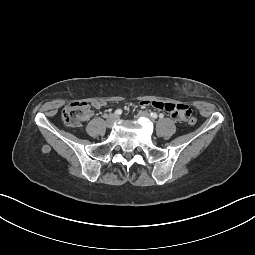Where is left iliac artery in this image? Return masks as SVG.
<instances>
[{
	"mask_svg": "<svg viewBox=\"0 0 255 255\" xmlns=\"http://www.w3.org/2000/svg\"><path fill=\"white\" fill-rule=\"evenodd\" d=\"M150 116L153 118V119H156L158 117V115L154 112H151L150 113Z\"/></svg>",
	"mask_w": 255,
	"mask_h": 255,
	"instance_id": "obj_1",
	"label": "left iliac artery"
}]
</instances>
